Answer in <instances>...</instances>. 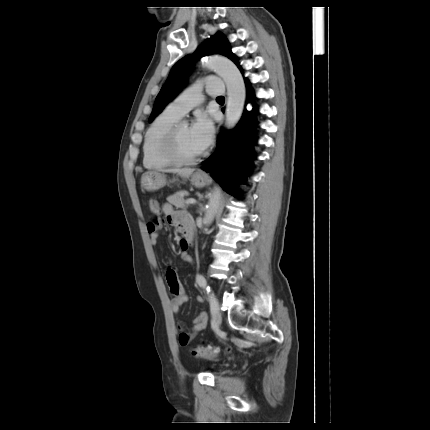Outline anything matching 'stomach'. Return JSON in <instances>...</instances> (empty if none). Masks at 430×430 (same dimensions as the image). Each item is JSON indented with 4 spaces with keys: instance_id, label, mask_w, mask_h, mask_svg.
<instances>
[{
    "instance_id": "stomach-1",
    "label": "stomach",
    "mask_w": 430,
    "mask_h": 430,
    "mask_svg": "<svg viewBox=\"0 0 430 430\" xmlns=\"http://www.w3.org/2000/svg\"><path fill=\"white\" fill-rule=\"evenodd\" d=\"M207 182V176L200 173L195 172L191 177V183L195 187H203ZM166 184V177L163 173L158 171H151L144 173L141 178V185L147 191H156L163 187Z\"/></svg>"
}]
</instances>
